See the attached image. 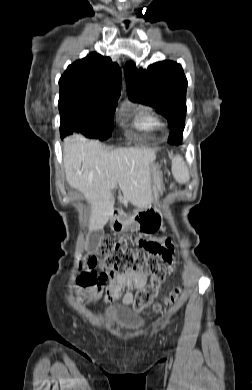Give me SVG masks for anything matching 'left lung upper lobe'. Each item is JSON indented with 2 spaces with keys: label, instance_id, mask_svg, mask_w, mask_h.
Segmentation results:
<instances>
[{
  "label": "left lung upper lobe",
  "instance_id": "1",
  "mask_svg": "<svg viewBox=\"0 0 252 390\" xmlns=\"http://www.w3.org/2000/svg\"><path fill=\"white\" fill-rule=\"evenodd\" d=\"M130 100L155 107L173 127L169 142L182 137L186 116L187 79L182 66L173 61L157 62L147 70L137 69L130 61L125 66Z\"/></svg>",
  "mask_w": 252,
  "mask_h": 390
}]
</instances>
